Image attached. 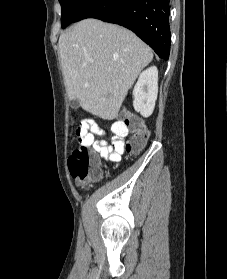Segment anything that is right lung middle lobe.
<instances>
[{"label": "right lung middle lobe", "mask_w": 227, "mask_h": 279, "mask_svg": "<svg viewBox=\"0 0 227 279\" xmlns=\"http://www.w3.org/2000/svg\"><path fill=\"white\" fill-rule=\"evenodd\" d=\"M86 0H59L61 4V26L67 27L71 24L80 7Z\"/></svg>", "instance_id": "1"}]
</instances>
